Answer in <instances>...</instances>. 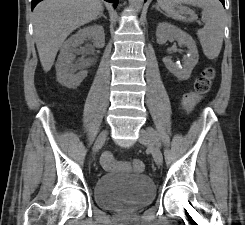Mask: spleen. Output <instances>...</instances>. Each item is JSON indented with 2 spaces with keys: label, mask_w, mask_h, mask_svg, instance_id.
I'll use <instances>...</instances> for the list:
<instances>
[{
  "label": "spleen",
  "mask_w": 245,
  "mask_h": 225,
  "mask_svg": "<svg viewBox=\"0 0 245 225\" xmlns=\"http://www.w3.org/2000/svg\"><path fill=\"white\" fill-rule=\"evenodd\" d=\"M158 6L170 17L179 21H186L182 12L176 10L179 4H187L202 9L203 29L197 31L203 52L208 59L218 57L224 37V9L219 0H157Z\"/></svg>",
  "instance_id": "spleen-1"
}]
</instances>
